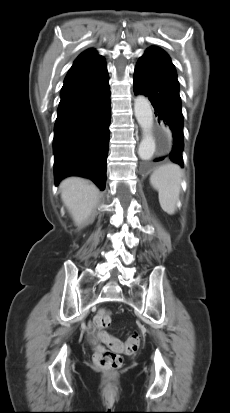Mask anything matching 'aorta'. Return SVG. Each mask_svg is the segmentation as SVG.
<instances>
[{"label":"aorta","instance_id":"762f6f07","mask_svg":"<svg viewBox=\"0 0 230 413\" xmlns=\"http://www.w3.org/2000/svg\"><path fill=\"white\" fill-rule=\"evenodd\" d=\"M134 112L143 132L138 155L143 160H149L155 152L156 142L153 136V111L148 98L137 96L134 100Z\"/></svg>","mask_w":230,"mask_h":413}]
</instances>
